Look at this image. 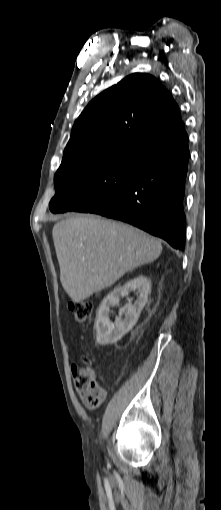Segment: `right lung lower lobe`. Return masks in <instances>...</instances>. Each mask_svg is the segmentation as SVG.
Segmentation results:
<instances>
[{
    "mask_svg": "<svg viewBox=\"0 0 221 510\" xmlns=\"http://www.w3.org/2000/svg\"><path fill=\"white\" fill-rule=\"evenodd\" d=\"M189 160L187 133L152 147L129 184L90 212L130 223L183 250L186 217L183 210Z\"/></svg>",
    "mask_w": 221,
    "mask_h": 510,
    "instance_id": "1",
    "label": "right lung lower lobe"
}]
</instances>
